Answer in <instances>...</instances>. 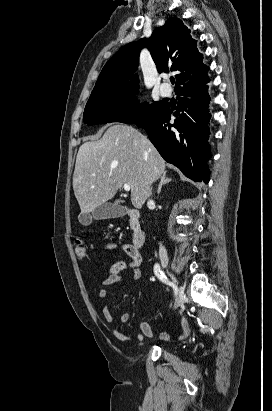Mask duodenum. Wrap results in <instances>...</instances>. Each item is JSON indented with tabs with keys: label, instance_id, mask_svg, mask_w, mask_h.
<instances>
[{
	"label": "duodenum",
	"instance_id": "1",
	"mask_svg": "<svg viewBox=\"0 0 272 411\" xmlns=\"http://www.w3.org/2000/svg\"><path fill=\"white\" fill-rule=\"evenodd\" d=\"M125 215L132 224V244L136 249H139L146 241V234L138 225L139 212L136 209H128Z\"/></svg>",
	"mask_w": 272,
	"mask_h": 411
}]
</instances>
